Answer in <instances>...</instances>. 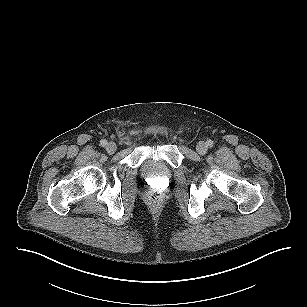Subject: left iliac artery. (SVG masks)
I'll use <instances>...</instances> for the list:
<instances>
[{
  "label": "left iliac artery",
  "mask_w": 307,
  "mask_h": 307,
  "mask_svg": "<svg viewBox=\"0 0 307 307\" xmlns=\"http://www.w3.org/2000/svg\"><path fill=\"white\" fill-rule=\"evenodd\" d=\"M206 143H207V146H208V147H210V148L213 147V144H214V143H213L212 140H208Z\"/></svg>",
  "instance_id": "left-iliac-artery-1"
}]
</instances>
